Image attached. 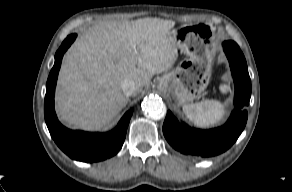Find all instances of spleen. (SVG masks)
<instances>
[{
  "instance_id": "1",
  "label": "spleen",
  "mask_w": 292,
  "mask_h": 192,
  "mask_svg": "<svg viewBox=\"0 0 292 192\" xmlns=\"http://www.w3.org/2000/svg\"><path fill=\"white\" fill-rule=\"evenodd\" d=\"M230 86L220 85V91L226 93ZM186 118L198 127H208L220 122L225 114L224 105L216 100H204L183 106Z\"/></svg>"
}]
</instances>
